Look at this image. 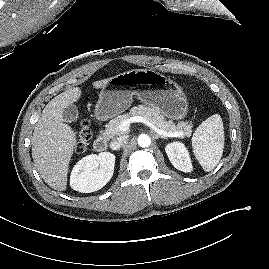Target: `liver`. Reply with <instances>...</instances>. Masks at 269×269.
Wrapping results in <instances>:
<instances>
[{"mask_svg": "<svg viewBox=\"0 0 269 269\" xmlns=\"http://www.w3.org/2000/svg\"><path fill=\"white\" fill-rule=\"evenodd\" d=\"M111 78L93 82V87H105ZM82 90L71 88L53 98L43 109L32 138V158L44 181L53 189L67 187L69 163L76 147V135L64 123L63 109L77 102Z\"/></svg>", "mask_w": 269, "mask_h": 269, "instance_id": "obj_1", "label": "liver"}]
</instances>
